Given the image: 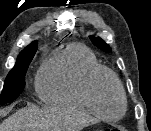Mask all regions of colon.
I'll return each mask as SVG.
<instances>
[{"label": "colon", "mask_w": 151, "mask_h": 131, "mask_svg": "<svg viewBox=\"0 0 151 131\" xmlns=\"http://www.w3.org/2000/svg\"><path fill=\"white\" fill-rule=\"evenodd\" d=\"M98 131H125L122 128H118V127H111V128H102Z\"/></svg>", "instance_id": "colon-1"}]
</instances>
